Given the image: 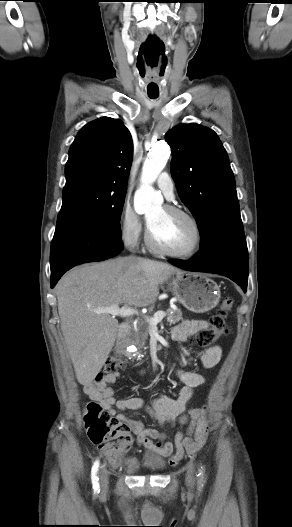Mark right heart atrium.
<instances>
[{
    "label": "right heart atrium",
    "instance_id": "obj_1",
    "mask_svg": "<svg viewBox=\"0 0 292 527\" xmlns=\"http://www.w3.org/2000/svg\"><path fill=\"white\" fill-rule=\"evenodd\" d=\"M119 224L122 240L130 246L137 245L142 235V223L138 214L127 202L121 208Z\"/></svg>",
    "mask_w": 292,
    "mask_h": 527
}]
</instances>
